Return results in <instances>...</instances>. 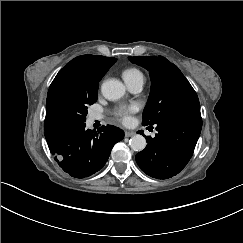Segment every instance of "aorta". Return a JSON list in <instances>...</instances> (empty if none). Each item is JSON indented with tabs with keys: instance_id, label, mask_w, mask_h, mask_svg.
I'll return each mask as SVG.
<instances>
[{
	"instance_id": "obj_1",
	"label": "aorta",
	"mask_w": 243,
	"mask_h": 243,
	"mask_svg": "<svg viewBox=\"0 0 243 243\" xmlns=\"http://www.w3.org/2000/svg\"><path fill=\"white\" fill-rule=\"evenodd\" d=\"M101 93L105 99L115 101L123 96L125 88L119 80L109 79L102 83ZM129 146L135 151H142L146 146V140L142 135L136 134L129 140Z\"/></svg>"
}]
</instances>
